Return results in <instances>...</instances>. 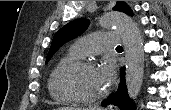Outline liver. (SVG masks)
<instances>
[{
  "instance_id": "liver-1",
  "label": "liver",
  "mask_w": 171,
  "mask_h": 110,
  "mask_svg": "<svg viewBox=\"0 0 171 110\" xmlns=\"http://www.w3.org/2000/svg\"><path fill=\"white\" fill-rule=\"evenodd\" d=\"M61 110H82L80 108H71V107H63ZM83 110H88V109H83Z\"/></svg>"
}]
</instances>
